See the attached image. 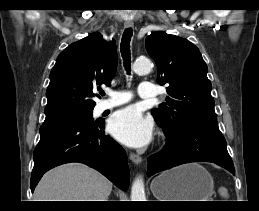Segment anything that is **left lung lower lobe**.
Returning <instances> with one entry per match:
<instances>
[{
	"mask_svg": "<svg viewBox=\"0 0 259 211\" xmlns=\"http://www.w3.org/2000/svg\"><path fill=\"white\" fill-rule=\"evenodd\" d=\"M198 161L212 162L235 173L226 141L219 128L188 124L176 134L167 136L165 148L148 158L147 175Z\"/></svg>",
	"mask_w": 259,
	"mask_h": 211,
	"instance_id": "1",
	"label": "left lung lower lobe"
}]
</instances>
